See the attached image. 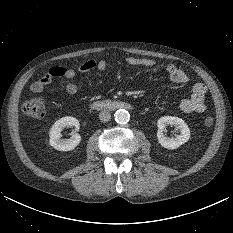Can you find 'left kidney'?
I'll use <instances>...</instances> for the list:
<instances>
[{"instance_id": "left-kidney-1", "label": "left kidney", "mask_w": 233, "mask_h": 233, "mask_svg": "<svg viewBox=\"0 0 233 233\" xmlns=\"http://www.w3.org/2000/svg\"><path fill=\"white\" fill-rule=\"evenodd\" d=\"M168 125H173L179 135L175 137H166L164 134L165 128ZM157 139L159 144L166 149H176L186 143L190 138V129L181 118L174 116H164L158 119Z\"/></svg>"}]
</instances>
